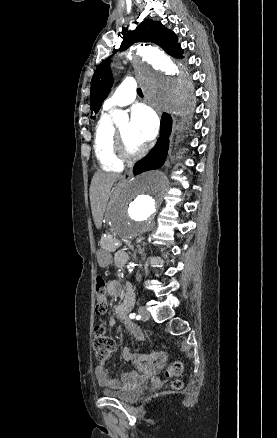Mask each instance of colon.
Wrapping results in <instances>:
<instances>
[{
  "label": "colon",
  "mask_w": 277,
  "mask_h": 438,
  "mask_svg": "<svg viewBox=\"0 0 277 438\" xmlns=\"http://www.w3.org/2000/svg\"><path fill=\"white\" fill-rule=\"evenodd\" d=\"M96 304L95 311L97 314H105L108 311V302L106 300V281L102 275L96 277ZM93 347L97 357L106 361L115 347V341L112 335L108 333L104 325H97L93 334ZM183 371V362L175 360L165 371L166 377H174L180 375ZM173 389H188V380H173L171 383Z\"/></svg>",
  "instance_id": "obj_1"
}]
</instances>
